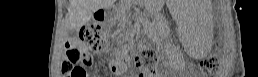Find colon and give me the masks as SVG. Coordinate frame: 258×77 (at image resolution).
<instances>
[{
  "label": "colon",
  "mask_w": 258,
  "mask_h": 77,
  "mask_svg": "<svg viewBox=\"0 0 258 77\" xmlns=\"http://www.w3.org/2000/svg\"><path fill=\"white\" fill-rule=\"evenodd\" d=\"M109 30L107 25L100 21L86 26L80 36L81 42L92 51H100L104 48ZM136 63L138 68L143 71H152L157 65V56L154 50L141 47L136 54ZM84 60L82 50L78 48H69L66 51V58L62 69L65 75L69 77H88L85 67L88 65ZM219 67V59L215 56H209L202 61L201 69L206 74L215 72Z\"/></svg>",
  "instance_id": "5ec220e1"
}]
</instances>
